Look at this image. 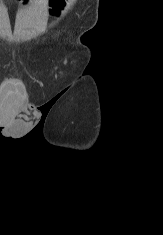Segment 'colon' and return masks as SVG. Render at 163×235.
Instances as JSON below:
<instances>
[{
  "label": "colon",
  "instance_id": "5ec220e1",
  "mask_svg": "<svg viewBox=\"0 0 163 235\" xmlns=\"http://www.w3.org/2000/svg\"><path fill=\"white\" fill-rule=\"evenodd\" d=\"M66 0H50L49 7L50 12L53 15H59L64 8Z\"/></svg>",
  "mask_w": 163,
  "mask_h": 235
}]
</instances>
